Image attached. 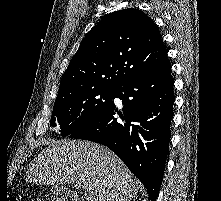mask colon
Masks as SVG:
<instances>
[{
    "instance_id": "1",
    "label": "colon",
    "mask_w": 221,
    "mask_h": 201,
    "mask_svg": "<svg viewBox=\"0 0 221 201\" xmlns=\"http://www.w3.org/2000/svg\"><path fill=\"white\" fill-rule=\"evenodd\" d=\"M11 201H23L20 197H13Z\"/></svg>"
}]
</instances>
